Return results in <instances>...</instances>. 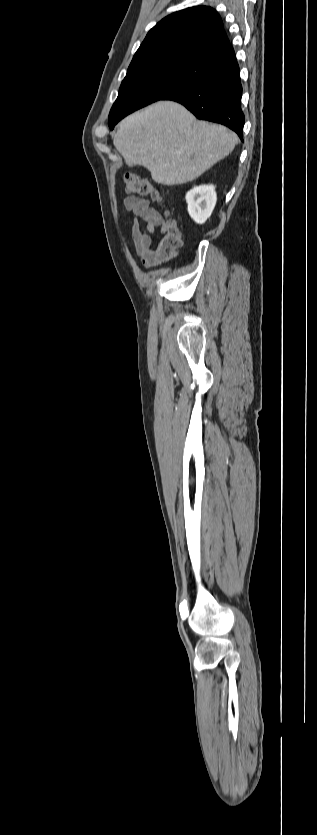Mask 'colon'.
<instances>
[{
    "mask_svg": "<svg viewBox=\"0 0 317 835\" xmlns=\"http://www.w3.org/2000/svg\"><path fill=\"white\" fill-rule=\"evenodd\" d=\"M124 182L128 193L150 197L156 202H163L161 191L153 187L147 179L127 174L124 177ZM182 244L183 236L177 223L172 219L166 220L164 236L157 247L159 253L165 258H172Z\"/></svg>",
    "mask_w": 317,
    "mask_h": 835,
    "instance_id": "colon-1",
    "label": "colon"
}]
</instances>
